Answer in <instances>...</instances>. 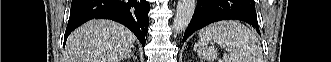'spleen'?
<instances>
[{"label":"spleen","mask_w":331,"mask_h":62,"mask_svg":"<svg viewBox=\"0 0 331 62\" xmlns=\"http://www.w3.org/2000/svg\"><path fill=\"white\" fill-rule=\"evenodd\" d=\"M200 42L197 54L207 62H214L217 43L230 53L223 56V62H261L259 41L253 32L238 21H220L199 31ZM210 44V47L207 45Z\"/></svg>","instance_id":"3e777b00"}]
</instances>
